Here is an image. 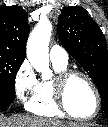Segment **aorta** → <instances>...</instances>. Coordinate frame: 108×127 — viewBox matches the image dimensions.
Masks as SVG:
<instances>
[{
    "label": "aorta",
    "instance_id": "aorta-1",
    "mask_svg": "<svg viewBox=\"0 0 108 127\" xmlns=\"http://www.w3.org/2000/svg\"><path fill=\"white\" fill-rule=\"evenodd\" d=\"M52 33V24L48 20L39 21L32 30L26 47L27 58L32 67L42 74V79L52 77L49 68V41Z\"/></svg>",
    "mask_w": 108,
    "mask_h": 127
}]
</instances>
